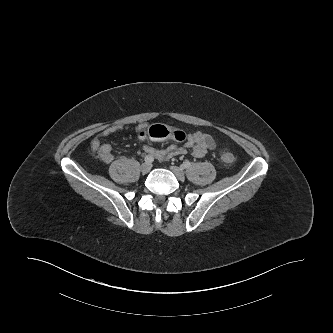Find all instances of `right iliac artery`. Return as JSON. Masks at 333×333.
I'll return each instance as SVG.
<instances>
[{
    "label": "right iliac artery",
    "mask_w": 333,
    "mask_h": 333,
    "mask_svg": "<svg viewBox=\"0 0 333 333\" xmlns=\"http://www.w3.org/2000/svg\"><path fill=\"white\" fill-rule=\"evenodd\" d=\"M146 163H152L154 161V158L150 155L145 156L144 158Z\"/></svg>",
    "instance_id": "82829eb1"
}]
</instances>
